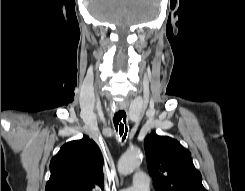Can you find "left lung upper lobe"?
<instances>
[{
  "label": "left lung upper lobe",
  "mask_w": 245,
  "mask_h": 191,
  "mask_svg": "<svg viewBox=\"0 0 245 191\" xmlns=\"http://www.w3.org/2000/svg\"><path fill=\"white\" fill-rule=\"evenodd\" d=\"M144 148L156 191H206L190 151L177 140L152 133Z\"/></svg>",
  "instance_id": "obj_1"
}]
</instances>
